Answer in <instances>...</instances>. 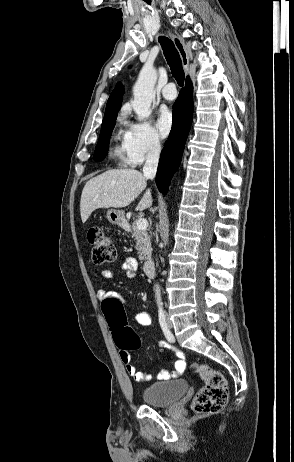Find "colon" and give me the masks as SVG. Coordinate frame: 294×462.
<instances>
[{"label": "colon", "mask_w": 294, "mask_h": 462, "mask_svg": "<svg viewBox=\"0 0 294 462\" xmlns=\"http://www.w3.org/2000/svg\"><path fill=\"white\" fill-rule=\"evenodd\" d=\"M91 246L93 263L103 265L113 262L116 250L111 239L99 228L91 227L87 232ZM102 311L112 331L113 339L120 350L130 351L140 347L141 341L135 331L128 326L123 305L113 294L102 300ZM194 371L202 379L204 385L193 399V408L203 414L220 412L228 400L227 383L217 370L204 364H195Z\"/></svg>", "instance_id": "obj_1"}]
</instances>
